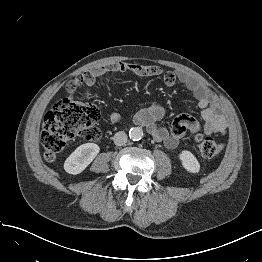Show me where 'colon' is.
Segmentation results:
<instances>
[{
  "mask_svg": "<svg viewBox=\"0 0 262 262\" xmlns=\"http://www.w3.org/2000/svg\"><path fill=\"white\" fill-rule=\"evenodd\" d=\"M92 80L89 73L81 74L66 84L68 96L59 100L45 115L40 137L44 147V158L48 162L64 150L67 142L75 137L94 140L99 136L96 124L100 118L99 108L89 102L75 98V92ZM195 146L205 158L218 156L224 145L210 137L197 135Z\"/></svg>",
  "mask_w": 262,
  "mask_h": 262,
  "instance_id": "colon-1",
  "label": "colon"
}]
</instances>
